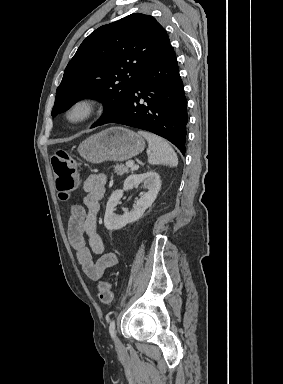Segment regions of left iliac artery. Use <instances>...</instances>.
<instances>
[{"label":"left iliac artery","instance_id":"44dca946","mask_svg":"<svg viewBox=\"0 0 283 384\" xmlns=\"http://www.w3.org/2000/svg\"><path fill=\"white\" fill-rule=\"evenodd\" d=\"M109 333H110L111 337L114 338V336H115V321L114 320H112L110 322Z\"/></svg>","mask_w":283,"mask_h":384}]
</instances>
